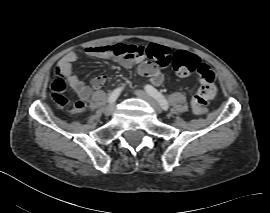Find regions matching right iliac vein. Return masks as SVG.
Returning <instances> with one entry per match:
<instances>
[{
	"label": "right iliac vein",
	"instance_id": "right-iliac-vein-1",
	"mask_svg": "<svg viewBox=\"0 0 270 213\" xmlns=\"http://www.w3.org/2000/svg\"><path fill=\"white\" fill-rule=\"evenodd\" d=\"M114 110H115V104L112 103V104H109V105L105 108L104 113H105V115H111V114L114 112Z\"/></svg>",
	"mask_w": 270,
	"mask_h": 213
}]
</instances>
